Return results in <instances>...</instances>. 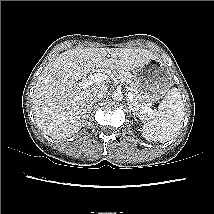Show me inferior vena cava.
I'll use <instances>...</instances> for the list:
<instances>
[{"label": "inferior vena cava", "mask_w": 214, "mask_h": 214, "mask_svg": "<svg viewBox=\"0 0 214 214\" xmlns=\"http://www.w3.org/2000/svg\"><path fill=\"white\" fill-rule=\"evenodd\" d=\"M107 92H108L107 85L101 84L99 86H95L89 95L90 100L91 101L99 100V99L103 98V96H105L107 94Z\"/></svg>", "instance_id": "obj_1"}]
</instances>
